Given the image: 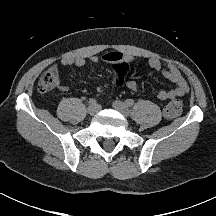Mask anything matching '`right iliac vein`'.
<instances>
[{
  "label": "right iliac vein",
  "mask_w": 216,
  "mask_h": 216,
  "mask_svg": "<svg viewBox=\"0 0 216 216\" xmlns=\"http://www.w3.org/2000/svg\"><path fill=\"white\" fill-rule=\"evenodd\" d=\"M98 110H99V107L96 104L95 105H89V107H88V113L90 115H95L98 112Z\"/></svg>",
  "instance_id": "1"
}]
</instances>
